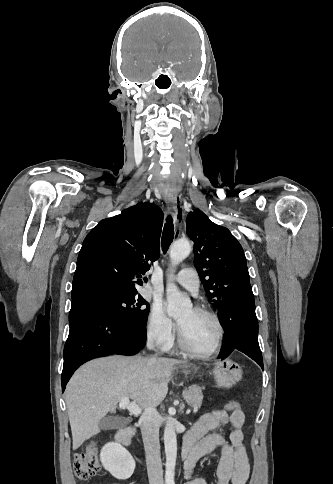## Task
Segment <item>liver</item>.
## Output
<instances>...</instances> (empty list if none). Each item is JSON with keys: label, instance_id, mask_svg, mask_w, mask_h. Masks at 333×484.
Masks as SVG:
<instances>
[{"label": "liver", "instance_id": "1", "mask_svg": "<svg viewBox=\"0 0 333 484\" xmlns=\"http://www.w3.org/2000/svg\"><path fill=\"white\" fill-rule=\"evenodd\" d=\"M177 365L191 366L185 361L142 356H111L83 365L65 390L73 449L98 434L100 421L115 412L125 397L141 409L156 408L168 393Z\"/></svg>", "mask_w": 333, "mask_h": 484}]
</instances>
